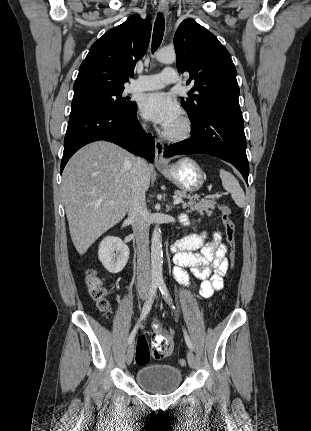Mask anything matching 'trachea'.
<instances>
[{
  "label": "trachea",
  "mask_w": 311,
  "mask_h": 431,
  "mask_svg": "<svg viewBox=\"0 0 311 431\" xmlns=\"http://www.w3.org/2000/svg\"><path fill=\"white\" fill-rule=\"evenodd\" d=\"M165 30V19L162 13H158L154 23V30L152 36V53H154L160 46Z\"/></svg>",
  "instance_id": "3493384b"
}]
</instances>
